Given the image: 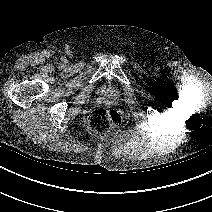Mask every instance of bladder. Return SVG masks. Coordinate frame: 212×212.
Returning <instances> with one entry per match:
<instances>
[{
    "label": "bladder",
    "mask_w": 212,
    "mask_h": 212,
    "mask_svg": "<svg viewBox=\"0 0 212 212\" xmlns=\"http://www.w3.org/2000/svg\"><path fill=\"white\" fill-rule=\"evenodd\" d=\"M99 95L115 99L119 97L120 92L113 85H105L100 89Z\"/></svg>",
    "instance_id": "31cf9c89"
}]
</instances>
